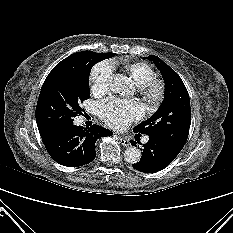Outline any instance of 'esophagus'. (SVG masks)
I'll use <instances>...</instances> for the list:
<instances>
[{
  "instance_id": "obj_1",
  "label": "esophagus",
  "mask_w": 233,
  "mask_h": 233,
  "mask_svg": "<svg viewBox=\"0 0 233 233\" xmlns=\"http://www.w3.org/2000/svg\"><path fill=\"white\" fill-rule=\"evenodd\" d=\"M118 138H119V142H120L123 146H125V147L130 146V141H129V139H127L126 137H122V136H119Z\"/></svg>"
}]
</instances>
